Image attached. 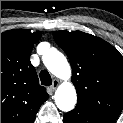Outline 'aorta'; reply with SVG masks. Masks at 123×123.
Instances as JSON below:
<instances>
[{
	"instance_id": "obj_1",
	"label": "aorta",
	"mask_w": 123,
	"mask_h": 123,
	"mask_svg": "<svg viewBox=\"0 0 123 123\" xmlns=\"http://www.w3.org/2000/svg\"><path fill=\"white\" fill-rule=\"evenodd\" d=\"M46 68L57 78L64 80L55 92L54 100L57 107L64 112L71 111L77 102L75 87L71 78V67L66 57L57 49L48 47L42 56Z\"/></svg>"
}]
</instances>
